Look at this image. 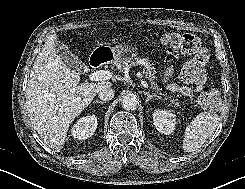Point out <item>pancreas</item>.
Returning <instances> with one entry per match:
<instances>
[{
  "instance_id": "obj_1",
  "label": "pancreas",
  "mask_w": 245,
  "mask_h": 189,
  "mask_svg": "<svg viewBox=\"0 0 245 189\" xmlns=\"http://www.w3.org/2000/svg\"><path fill=\"white\" fill-rule=\"evenodd\" d=\"M130 63L131 64H137V65L144 66L143 73L151 81L152 87L155 90H157V91H160L161 90L159 88V86L155 85V80H157V76L155 74V68L149 62V59L148 58L138 57V55L136 53H134V54H131L129 57H122V58H120L119 60H117L115 62V65H116V67L118 69H124ZM160 94H162V93H160ZM162 95L166 97V95H164V94H162ZM168 98L171 99V96H169Z\"/></svg>"
}]
</instances>
